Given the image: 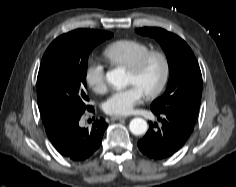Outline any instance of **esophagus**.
Here are the masks:
<instances>
[{
    "label": "esophagus",
    "instance_id": "obj_1",
    "mask_svg": "<svg viewBox=\"0 0 236 187\" xmlns=\"http://www.w3.org/2000/svg\"><path fill=\"white\" fill-rule=\"evenodd\" d=\"M124 119H126V117H123V116H112V117H111V120H112V121L124 120Z\"/></svg>",
    "mask_w": 236,
    "mask_h": 187
}]
</instances>
